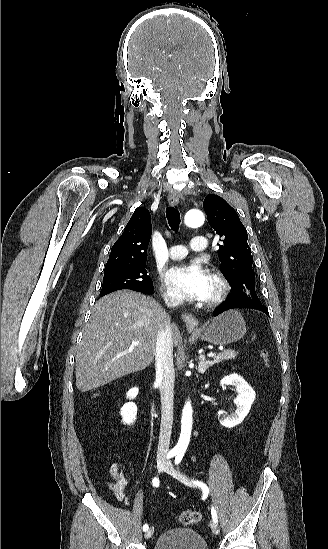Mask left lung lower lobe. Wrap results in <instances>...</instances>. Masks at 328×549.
I'll return each instance as SVG.
<instances>
[{"instance_id":"obj_1","label":"left lung lower lobe","mask_w":328,"mask_h":549,"mask_svg":"<svg viewBox=\"0 0 328 549\" xmlns=\"http://www.w3.org/2000/svg\"><path fill=\"white\" fill-rule=\"evenodd\" d=\"M235 308H250L262 311L269 315L268 309L264 307L260 300L255 301H248V300H242V299H228L224 304L219 306L214 310V316H217L229 309H235Z\"/></svg>"}]
</instances>
